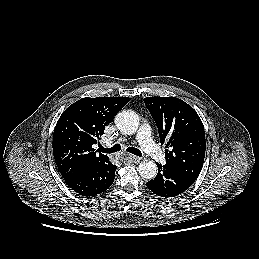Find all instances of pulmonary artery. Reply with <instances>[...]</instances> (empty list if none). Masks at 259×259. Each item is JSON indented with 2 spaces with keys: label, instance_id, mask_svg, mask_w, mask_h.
<instances>
[{
  "label": "pulmonary artery",
  "instance_id": "e3ab8cb5",
  "mask_svg": "<svg viewBox=\"0 0 259 259\" xmlns=\"http://www.w3.org/2000/svg\"><path fill=\"white\" fill-rule=\"evenodd\" d=\"M139 143L143 150L157 162H162L165 158L163 152L153 143L151 139V129L148 124H144L140 128Z\"/></svg>",
  "mask_w": 259,
  "mask_h": 259
}]
</instances>
